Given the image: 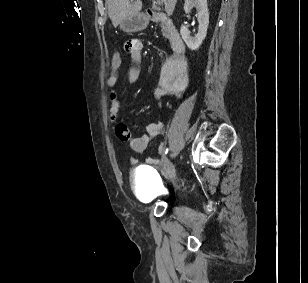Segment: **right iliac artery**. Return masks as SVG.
<instances>
[{
	"instance_id": "1",
	"label": "right iliac artery",
	"mask_w": 308,
	"mask_h": 283,
	"mask_svg": "<svg viewBox=\"0 0 308 283\" xmlns=\"http://www.w3.org/2000/svg\"><path fill=\"white\" fill-rule=\"evenodd\" d=\"M167 152H168V149H166L165 154H167Z\"/></svg>"
}]
</instances>
